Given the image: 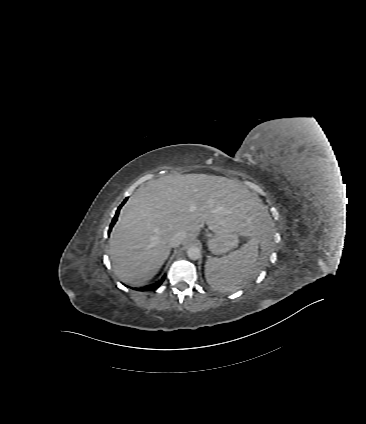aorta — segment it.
<instances>
[{
  "instance_id": "aorta-1",
  "label": "aorta",
  "mask_w": 366,
  "mask_h": 424,
  "mask_svg": "<svg viewBox=\"0 0 366 424\" xmlns=\"http://www.w3.org/2000/svg\"><path fill=\"white\" fill-rule=\"evenodd\" d=\"M187 255L191 260H197L200 258L201 252L198 247L192 245L188 248Z\"/></svg>"
}]
</instances>
